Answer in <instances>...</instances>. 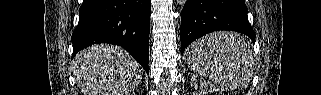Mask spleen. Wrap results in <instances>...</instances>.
Masks as SVG:
<instances>
[{"label": "spleen", "instance_id": "spleen-1", "mask_svg": "<svg viewBox=\"0 0 321 95\" xmlns=\"http://www.w3.org/2000/svg\"><path fill=\"white\" fill-rule=\"evenodd\" d=\"M187 64L226 91L245 89L254 73L250 43L235 32H216L193 42Z\"/></svg>", "mask_w": 321, "mask_h": 95}]
</instances>
